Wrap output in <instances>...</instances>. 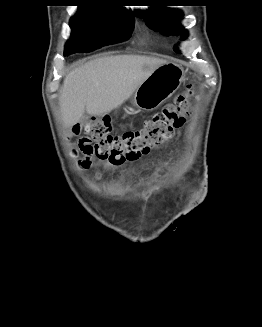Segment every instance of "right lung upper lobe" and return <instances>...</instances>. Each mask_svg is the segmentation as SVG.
I'll return each instance as SVG.
<instances>
[{"label":"right lung upper lobe","instance_id":"right-lung-upper-lobe-1","mask_svg":"<svg viewBox=\"0 0 262 327\" xmlns=\"http://www.w3.org/2000/svg\"><path fill=\"white\" fill-rule=\"evenodd\" d=\"M83 5L79 6L78 8H86V9H94V10H106V11H113V12H121L127 13V11L117 8L113 5H108L110 0H80ZM130 15H133L132 12H129Z\"/></svg>","mask_w":262,"mask_h":327}]
</instances>
